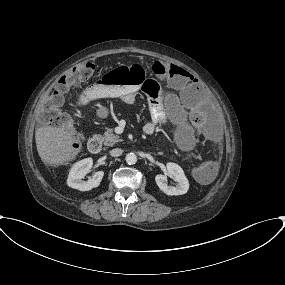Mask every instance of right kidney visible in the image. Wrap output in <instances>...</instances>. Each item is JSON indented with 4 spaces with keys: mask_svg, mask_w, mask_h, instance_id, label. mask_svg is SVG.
<instances>
[{
    "mask_svg": "<svg viewBox=\"0 0 285 285\" xmlns=\"http://www.w3.org/2000/svg\"><path fill=\"white\" fill-rule=\"evenodd\" d=\"M92 158H85L75 163L68 175L67 184L69 187L78 189L80 191H89L100 185L104 176L103 171L96 172L88 181H83L84 176L90 172L92 168Z\"/></svg>",
    "mask_w": 285,
    "mask_h": 285,
    "instance_id": "right-kidney-1",
    "label": "right kidney"
}]
</instances>
